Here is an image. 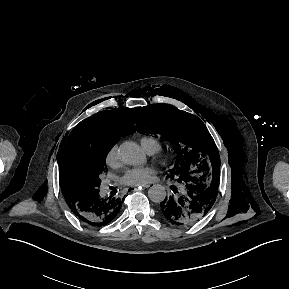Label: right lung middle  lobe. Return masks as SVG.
<instances>
[{"label": "right lung middle lobe", "mask_w": 289, "mask_h": 289, "mask_svg": "<svg viewBox=\"0 0 289 289\" xmlns=\"http://www.w3.org/2000/svg\"><path fill=\"white\" fill-rule=\"evenodd\" d=\"M113 146L112 141L102 143L72 163L71 181L80 195L84 196L98 190L101 184L100 175L107 169L106 156Z\"/></svg>", "instance_id": "1"}]
</instances>
